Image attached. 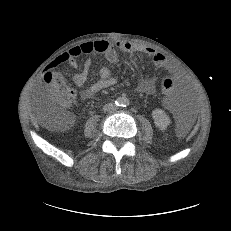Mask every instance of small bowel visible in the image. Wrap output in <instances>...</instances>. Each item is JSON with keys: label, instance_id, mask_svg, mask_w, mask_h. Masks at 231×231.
I'll return each instance as SVG.
<instances>
[{"label": "small bowel", "instance_id": "c3829d8e", "mask_svg": "<svg viewBox=\"0 0 231 231\" xmlns=\"http://www.w3.org/2000/svg\"><path fill=\"white\" fill-rule=\"evenodd\" d=\"M118 50L130 55H135L138 53L147 54L151 56L155 66L164 68L173 75V79L176 84H180L185 81L184 72L180 70L172 62H170L163 53L157 52L156 50L149 47H138L129 42H117L113 44L112 42L106 40L86 42L79 46H75L71 48L68 52L58 56L55 60H53L49 64L47 71H52L53 69H55L56 67H58L63 63L67 64L70 67L76 68L77 67L76 59L81 55L93 56V55L101 54L105 57V59L109 63H115L118 59ZM91 64L92 61L90 58H88L85 61L82 69L73 76V83L77 87L81 88L85 84ZM99 75L100 78L96 82H94L89 88L81 91L80 96L83 99H88L93 95H95L96 93L116 85L117 79L112 76V72L109 67L107 66L101 67L99 71ZM153 89H154L153 82H148L144 87L145 92H152ZM172 93L173 91L164 92L165 97L163 102L164 105L168 108L171 107L173 101Z\"/></svg>", "mask_w": 231, "mask_h": 231}]
</instances>
